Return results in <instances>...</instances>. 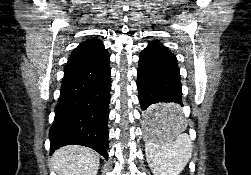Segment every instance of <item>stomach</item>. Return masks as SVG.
<instances>
[{"label":"stomach","instance_id":"obj_1","mask_svg":"<svg viewBox=\"0 0 251 175\" xmlns=\"http://www.w3.org/2000/svg\"><path fill=\"white\" fill-rule=\"evenodd\" d=\"M172 104V101H169ZM146 111H179V106H146ZM143 128L147 141H168V136H148V134H185V129H149V128H184V118L177 114H143Z\"/></svg>","mask_w":251,"mask_h":175}]
</instances>
